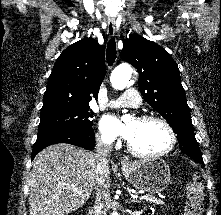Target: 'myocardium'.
<instances>
[{"label": "myocardium", "instance_id": "f54148a6", "mask_svg": "<svg viewBox=\"0 0 221 215\" xmlns=\"http://www.w3.org/2000/svg\"><path fill=\"white\" fill-rule=\"evenodd\" d=\"M137 121L140 122H146V121H157L159 123H161L164 128L166 129L168 136H169V145L167 146L166 149L159 151V152H155V153H143L140 152L138 150H136L129 141H127V149L130 153H132L133 155L140 157V158H158V157H162L165 156L167 154H169L170 152L173 151V149L176 146V142H177V138H176V134L174 129L172 128V126L169 124V122L164 119L161 116L158 115H154V114H145V115H141L139 116L137 119Z\"/></svg>", "mask_w": 221, "mask_h": 215}]
</instances>
